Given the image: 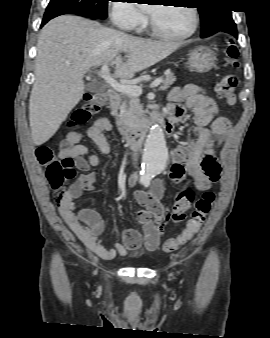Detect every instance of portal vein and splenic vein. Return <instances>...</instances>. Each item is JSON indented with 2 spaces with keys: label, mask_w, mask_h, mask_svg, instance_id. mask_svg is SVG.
Segmentation results:
<instances>
[{
  "label": "portal vein and splenic vein",
  "mask_w": 270,
  "mask_h": 338,
  "mask_svg": "<svg viewBox=\"0 0 270 338\" xmlns=\"http://www.w3.org/2000/svg\"><path fill=\"white\" fill-rule=\"evenodd\" d=\"M98 75L102 79H104L106 83H108L117 92L124 93L130 96H137V97L142 94V88L140 86L121 84L117 82L113 77H111V75L109 74V68H108L107 63H105L102 66L101 70L98 72ZM161 82H162V78H157L151 83L150 87L152 88L157 87L158 85H160Z\"/></svg>",
  "instance_id": "obj_1"
}]
</instances>
